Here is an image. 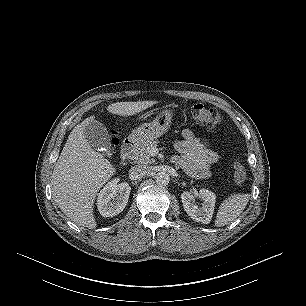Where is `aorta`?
Here are the masks:
<instances>
[{"mask_svg": "<svg viewBox=\"0 0 306 306\" xmlns=\"http://www.w3.org/2000/svg\"><path fill=\"white\" fill-rule=\"evenodd\" d=\"M170 181V176L167 172H159L156 175V182L160 185H166Z\"/></svg>", "mask_w": 306, "mask_h": 306, "instance_id": "762f6f07", "label": "aorta"}]
</instances>
